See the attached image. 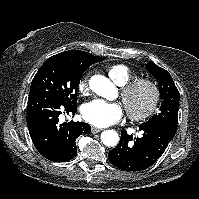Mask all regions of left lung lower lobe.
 I'll return each mask as SVG.
<instances>
[{"label":"left lung lower lobe","mask_w":199,"mask_h":199,"mask_svg":"<svg viewBox=\"0 0 199 199\" xmlns=\"http://www.w3.org/2000/svg\"><path fill=\"white\" fill-rule=\"evenodd\" d=\"M143 136L133 140L122 130L119 144L109 152V161L115 167L126 171H141L163 154L176 130L160 124L141 125Z\"/></svg>","instance_id":"left-lung-lower-lobe-1"}]
</instances>
